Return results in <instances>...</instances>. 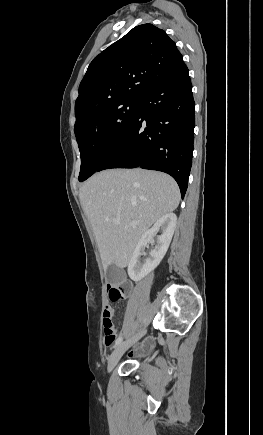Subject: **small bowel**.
I'll return each instance as SVG.
<instances>
[{
    "mask_svg": "<svg viewBox=\"0 0 263 435\" xmlns=\"http://www.w3.org/2000/svg\"><path fill=\"white\" fill-rule=\"evenodd\" d=\"M127 287V290H128V286H126ZM107 311H109L110 313H111V315L113 316V309H112V307L109 305V304H107L106 306H105V308H104V312H107ZM125 326H123V328H124ZM150 346V342H147V343H145V344H143L142 346H141V348L139 349V352H142V351H144L147 347H149Z\"/></svg>",
    "mask_w": 263,
    "mask_h": 435,
    "instance_id": "small-bowel-1",
    "label": "small bowel"
}]
</instances>
